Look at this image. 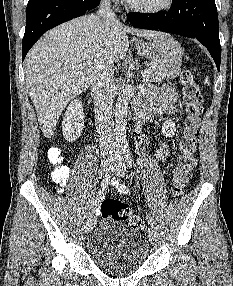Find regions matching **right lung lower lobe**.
<instances>
[{"instance_id": "obj_1", "label": "right lung lower lobe", "mask_w": 233, "mask_h": 286, "mask_svg": "<svg viewBox=\"0 0 233 286\" xmlns=\"http://www.w3.org/2000/svg\"><path fill=\"white\" fill-rule=\"evenodd\" d=\"M100 0H29L22 41V61L33 44L49 29L96 8Z\"/></svg>"}]
</instances>
